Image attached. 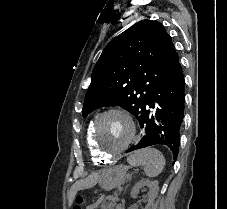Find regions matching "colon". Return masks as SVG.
I'll return each instance as SVG.
<instances>
[{
	"mask_svg": "<svg viewBox=\"0 0 227 209\" xmlns=\"http://www.w3.org/2000/svg\"><path fill=\"white\" fill-rule=\"evenodd\" d=\"M81 202H82V200H81V198H79L76 205L73 206V209H82Z\"/></svg>",
	"mask_w": 227,
	"mask_h": 209,
	"instance_id": "obj_1",
	"label": "colon"
}]
</instances>
